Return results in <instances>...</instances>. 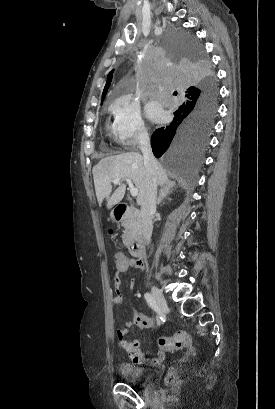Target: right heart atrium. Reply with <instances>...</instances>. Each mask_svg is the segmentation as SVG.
I'll return each mask as SVG.
<instances>
[{
    "instance_id": "obj_1",
    "label": "right heart atrium",
    "mask_w": 275,
    "mask_h": 409,
    "mask_svg": "<svg viewBox=\"0 0 275 409\" xmlns=\"http://www.w3.org/2000/svg\"><path fill=\"white\" fill-rule=\"evenodd\" d=\"M113 114L119 141L128 147L124 152H135L133 145H140L149 138V127L141 110L129 100L122 99L114 106Z\"/></svg>"
}]
</instances>
